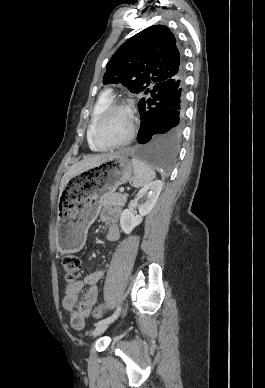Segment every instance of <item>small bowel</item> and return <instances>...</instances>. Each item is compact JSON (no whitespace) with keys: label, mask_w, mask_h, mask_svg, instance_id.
I'll return each mask as SVG.
<instances>
[{"label":"small bowel","mask_w":265,"mask_h":388,"mask_svg":"<svg viewBox=\"0 0 265 388\" xmlns=\"http://www.w3.org/2000/svg\"><path fill=\"white\" fill-rule=\"evenodd\" d=\"M120 215L121 210L117 207L104 208L100 213V219L108 224L106 239L109 242H116L120 238L118 227ZM102 275L103 272L98 270L66 287L62 303L70 315V324L74 329L80 330L84 327L86 319L96 304L98 298L96 282Z\"/></svg>","instance_id":"c3829d8e"}]
</instances>
